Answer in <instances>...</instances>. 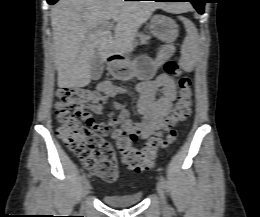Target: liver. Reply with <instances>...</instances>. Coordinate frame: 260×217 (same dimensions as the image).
Instances as JSON below:
<instances>
[{"label": "liver", "mask_w": 260, "mask_h": 217, "mask_svg": "<svg viewBox=\"0 0 260 217\" xmlns=\"http://www.w3.org/2000/svg\"><path fill=\"white\" fill-rule=\"evenodd\" d=\"M187 5L124 0H59L51 9L58 87H85L97 53L104 62L112 54L134 50L136 33L156 9L181 13ZM113 20L114 37L101 27Z\"/></svg>", "instance_id": "1"}]
</instances>
